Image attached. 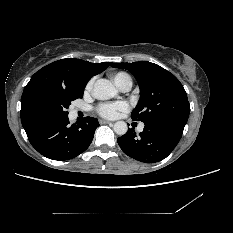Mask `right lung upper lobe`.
<instances>
[{
    "mask_svg": "<svg viewBox=\"0 0 233 233\" xmlns=\"http://www.w3.org/2000/svg\"><path fill=\"white\" fill-rule=\"evenodd\" d=\"M111 62L90 63L66 58L37 71L25 86L21 97V121L26 134L50 122L40 111L42 95L55 91H84L91 77L103 72Z\"/></svg>",
    "mask_w": 233,
    "mask_h": 233,
    "instance_id": "cb5924a9",
    "label": "right lung upper lobe"
}]
</instances>
